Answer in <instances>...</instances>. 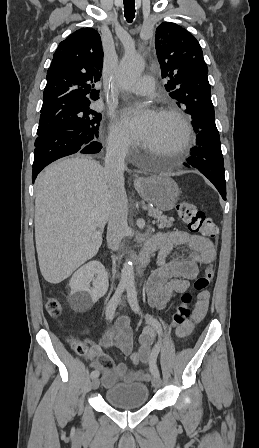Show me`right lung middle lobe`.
<instances>
[{
  "label": "right lung middle lobe",
  "mask_w": 259,
  "mask_h": 448,
  "mask_svg": "<svg viewBox=\"0 0 259 448\" xmlns=\"http://www.w3.org/2000/svg\"><path fill=\"white\" fill-rule=\"evenodd\" d=\"M101 113L91 109L90 105L78 109L45 113L40 115L37 135L57 130H69L89 137V141L98 138Z\"/></svg>",
  "instance_id": "1"
}]
</instances>
